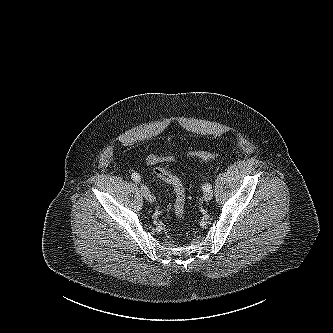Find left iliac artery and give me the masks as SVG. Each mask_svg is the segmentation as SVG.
Segmentation results:
<instances>
[{
  "label": "left iliac artery",
  "instance_id": "left-iliac-artery-1",
  "mask_svg": "<svg viewBox=\"0 0 333 333\" xmlns=\"http://www.w3.org/2000/svg\"><path fill=\"white\" fill-rule=\"evenodd\" d=\"M203 191H208L211 189V185L210 184H205L203 187H202Z\"/></svg>",
  "mask_w": 333,
  "mask_h": 333
}]
</instances>
